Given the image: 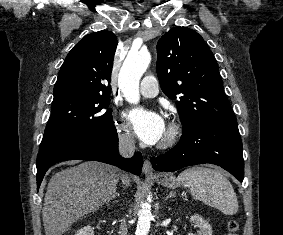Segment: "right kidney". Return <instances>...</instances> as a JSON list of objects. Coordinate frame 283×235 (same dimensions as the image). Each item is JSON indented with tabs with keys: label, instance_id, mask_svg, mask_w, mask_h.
<instances>
[{
	"label": "right kidney",
	"instance_id": "right-kidney-1",
	"mask_svg": "<svg viewBox=\"0 0 283 235\" xmlns=\"http://www.w3.org/2000/svg\"><path fill=\"white\" fill-rule=\"evenodd\" d=\"M75 235H94V231L91 226H85L78 230Z\"/></svg>",
	"mask_w": 283,
	"mask_h": 235
}]
</instances>
